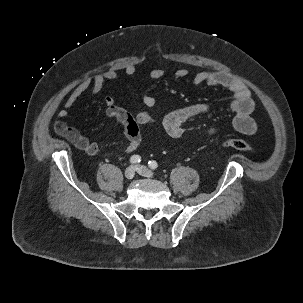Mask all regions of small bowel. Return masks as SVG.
<instances>
[{
	"mask_svg": "<svg viewBox=\"0 0 303 303\" xmlns=\"http://www.w3.org/2000/svg\"><path fill=\"white\" fill-rule=\"evenodd\" d=\"M123 70L129 76H134L137 73V69L133 64L126 65ZM165 74L166 71L164 69L156 68L149 71L147 77L155 80L162 78ZM188 76L189 71L185 68L177 70L174 74L176 79H185ZM117 77V71L110 69L82 80L69 95L64 108L58 113V118L55 122V131L87 155H97L99 152L98 144L89 140V138L81 134L76 128L67 125L65 118L76 101L87 90H90L92 95H96L102 90L106 82L113 81ZM192 82L196 85L206 84L210 87H220L229 91L232 94L230 110L234 114L232 121L233 127L236 131L245 135L255 133L257 127L251 116L255 104L250 90L244 83L234 79L227 73L218 71L198 72L192 77ZM142 100L146 108L136 115H132L124 108L117 106L111 95H107L104 98L106 116L118 121L123 126L125 136L128 140L125 148L127 153H132L139 147L141 142V128L155 121L154 116L149 111L156 103L154 96L146 92L143 94ZM209 111L210 106L203 103L176 109L165 116L163 121L164 129L166 133L173 138L182 137L187 132L185 124L189 120L208 114ZM216 132L217 129L209 128L200 132V134L213 135Z\"/></svg>",
	"mask_w": 303,
	"mask_h": 303,
	"instance_id": "small-bowel-1",
	"label": "small bowel"
}]
</instances>
